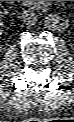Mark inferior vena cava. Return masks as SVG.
<instances>
[{"label": "inferior vena cava", "instance_id": "1", "mask_svg": "<svg viewBox=\"0 0 74 122\" xmlns=\"http://www.w3.org/2000/svg\"><path fill=\"white\" fill-rule=\"evenodd\" d=\"M22 20L27 25H34L36 22V14L31 10H25L22 14Z\"/></svg>", "mask_w": 74, "mask_h": 122}]
</instances>
